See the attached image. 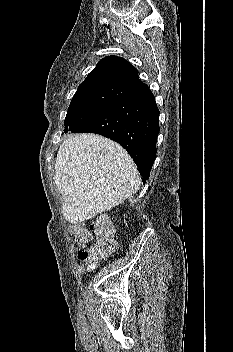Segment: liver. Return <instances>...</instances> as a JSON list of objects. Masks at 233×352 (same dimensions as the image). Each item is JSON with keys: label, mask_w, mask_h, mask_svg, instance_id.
Returning a JSON list of instances; mask_svg holds the SVG:
<instances>
[{"label": "liver", "mask_w": 233, "mask_h": 352, "mask_svg": "<svg viewBox=\"0 0 233 352\" xmlns=\"http://www.w3.org/2000/svg\"><path fill=\"white\" fill-rule=\"evenodd\" d=\"M55 184L71 223L93 218L122 203L140 187L138 170L119 144L96 134L65 139L55 164Z\"/></svg>", "instance_id": "6515ba94"}]
</instances>
